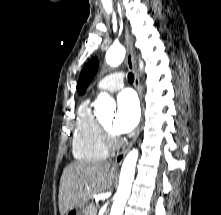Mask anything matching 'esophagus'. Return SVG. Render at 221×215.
I'll return each mask as SVG.
<instances>
[{"label":"esophagus","instance_id":"obj_1","mask_svg":"<svg viewBox=\"0 0 221 215\" xmlns=\"http://www.w3.org/2000/svg\"><path fill=\"white\" fill-rule=\"evenodd\" d=\"M125 46H126V52H127V54H126L127 67L134 74V86H135V88L137 90V93H138V96H139V99H140L141 108L143 109V100H142L141 86H140V81H139L138 73H137V70H136V67H135V60H134V54H133V43H132V39H131V36H130L129 31H128L127 28H125ZM142 125H143V116L141 117L140 123H139V125H138V127L136 129L135 135L132 138V140L115 157L114 162H113V166L114 167H117V166H119L122 163V161L125 158L127 152L130 150L132 145L137 140Z\"/></svg>","mask_w":221,"mask_h":215}]
</instances>
